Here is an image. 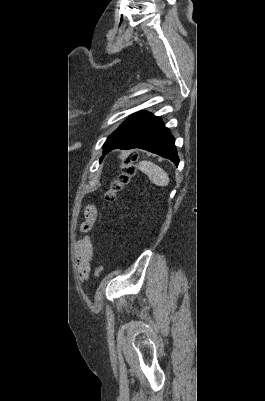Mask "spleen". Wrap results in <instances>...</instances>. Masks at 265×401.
Returning a JSON list of instances; mask_svg holds the SVG:
<instances>
[{
  "label": "spleen",
  "mask_w": 265,
  "mask_h": 401,
  "mask_svg": "<svg viewBox=\"0 0 265 401\" xmlns=\"http://www.w3.org/2000/svg\"><path fill=\"white\" fill-rule=\"evenodd\" d=\"M139 168L143 170L145 174H148L151 182L158 184V186H167L170 182L167 172H165L163 168H160V166H157V164H153L151 160H141V162H139Z\"/></svg>",
  "instance_id": "spleen-1"
}]
</instances>
